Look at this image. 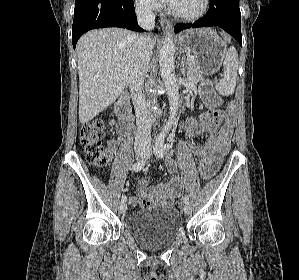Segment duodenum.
I'll return each mask as SVG.
<instances>
[{
	"label": "duodenum",
	"instance_id": "duodenum-1",
	"mask_svg": "<svg viewBox=\"0 0 299 280\" xmlns=\"http://www.w3.org/2000/svg\"><path fill=\"white\" fill-rule=\"evenodd\" d=\"M117 112L119 116V126L121 131H127L131 125V112L129 97L127 94L121 96L117 103Z\"/></svg>",
	"mask_w": 299,
	"mask_h": 280
}]
</instances>
